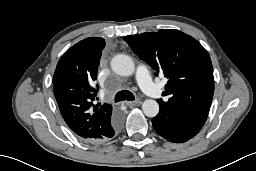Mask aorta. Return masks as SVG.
<instances>
[{"label":"aorta","mask_w":256,"mask_h":171,"mask_svg":"<svg viewBox=\"0 0 256 171\" xmlns=\"http://www.w3.org/2000/svg\"><path fill=\"white\" fill-rule=\"evenodd\" d=\"M112 70L121 76H130L134 73L135 64L130 56L118 54L111 61ZM142 110L147 117H155L159 113L157 101L147 99L142 104Z\"/></svg>","instance_id":"762f6f07"}]
</instances>
